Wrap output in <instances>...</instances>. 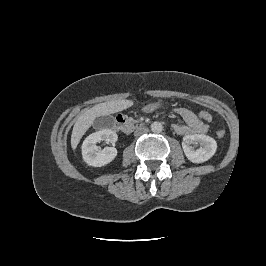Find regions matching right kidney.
Here are the masks:
<instances>
[{"instance_id":"ca27d5eb","label":"right kidney","mask_w":266,"mask_h":266,"mask_svg":"<svg viewBox=\"0 0 266 266\" xmlns=\"http://www.w3.org/2000/svg\"><path fill=\"white\" fill-rule=\"evenodd\" d=\"M117 140V134L111 129H102L92 133L82 144V156L84 161L93 167L107 165L117 156V149L115 147H106L103 150H99L96 144L101 141L115 143Z\"/></svg>"}]
</instances>
